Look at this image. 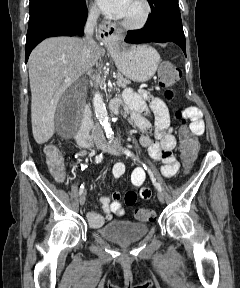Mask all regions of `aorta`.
Listing matches in <instances>:
<instances>
[{
    "label": "aorta",
    "mask_w": 240,
    "mask_h": 288,
    "mask_svg": "<svg viewBox=\"0 0 240 288\" xmlns=\"http://www.w3.org/2000/svg\"><path fill=\"white\" fill-rule=\"evenodd\" d=\"M93 105H94V111H95L96 117L99 123L101 124V126L103 127L106 133V136L108 138H111L113 135V132L109 123L108 112L106 110V106L103 102V99L99 93H96L94 95Z\"/></svg>",
    "instance_id": "obj_1"
}]
</instances>
